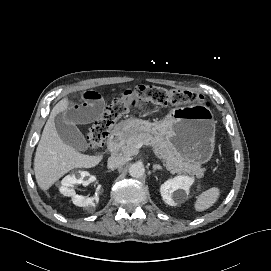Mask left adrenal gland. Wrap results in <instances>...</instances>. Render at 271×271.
<instances>
[{
	"label": "left adrenal gland",
	"instance_id": "obj_1",
	"mask_svg": "<svg viewBox=\"0 0 271 271\" xmlns=\"http://www.w3.org/2000/svg\"><path fill=\"white\" fill-rule=\"evenodd\" d=\"M156 170H162V167L160 165H153L152 172H155Z\"/></svg>",
	"mask_w": 271,
	"mask_h": 271
}]
</instances>
